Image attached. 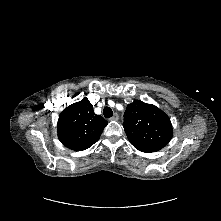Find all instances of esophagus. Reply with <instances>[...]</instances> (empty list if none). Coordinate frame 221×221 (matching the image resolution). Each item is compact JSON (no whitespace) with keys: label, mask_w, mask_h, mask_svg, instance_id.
Masks as SVG:
<instances>
[{"label":"esophagus","mask_w":221,"mask_h":221,"mask_svg":"<svg viewBox=\"0 0 221 221\" xmlns=\"http://www.w3.org/2000/svg\"><path fill=\"white\" fill-rule=\"evenodd\" d=\"M118 118H119L118 114L114 113L113 116L109 120L116 121V120H118Z\"/></svg>","instance_id":"34e87169"}]
</instances>
